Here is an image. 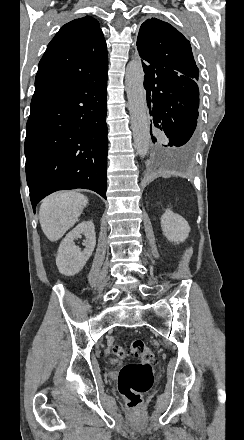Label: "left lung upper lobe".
<instances>
[{
	"mask_svg": "<svg viewBox=\"0 0 244 440\" xmlns=\"http://www.w3.org/2000/svg\"><path fill=\"white\" fill-rule=\"evenodd\" d=\"M137 49L143 67L166 68L198 80L199 70L190 42L169 23L157 18L147 19L140 27Z\"/></svg>",
	"mask_w": 244,
	"mask_h": 440,
	"instance_id": "obj_1",
	"label": "left lung upper lobe"
}]
</instances>
